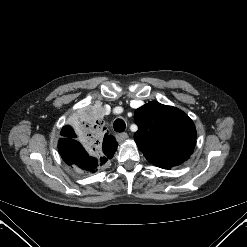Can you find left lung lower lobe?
<instances>
[{
  "instance_id": "1",
  "label": "left lung lower lobe",
  "mask_w": 247,
  "mask_h": 247,
  "mask_svg": "<svg viewBox=\"0 0 247 247\" xmlns=\"http://www.w3.org/2000/svg\"><path fill=\"white\" fill-rule=\"evenodd\" d=\"M161 168H165L166 169V168H170V167H161Z\"/></svg>"
}]
</instances>
